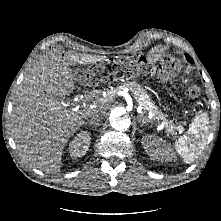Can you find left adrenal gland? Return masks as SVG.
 Masks as SVG:
<instances>
[{
    "mask_svg": "<svg viewBox=\"0 0 221 221\" xmlns=\"http://www.w3.org/2000/svg\"><path fill=\"white\" fill-rule=\"evenodd\" d=\"M138 120H139V122H141L142 124H145L146 122H150L149 119L142 118L141 115L138 117Z\"/></svg>",
    "mask_w": 221,
    "mask_h": 221,
    "instance_id": "a2214340",
    "label": "left adrenal gland"
}]
</instances>
